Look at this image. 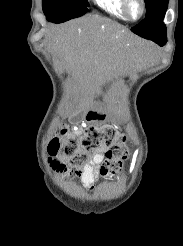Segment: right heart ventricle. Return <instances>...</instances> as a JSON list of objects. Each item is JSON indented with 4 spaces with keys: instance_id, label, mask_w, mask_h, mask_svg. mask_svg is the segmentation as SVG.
<instances>
[{
    "instance_id": "right-heart-ventricle-1",
    "label": "right heart ventricle",
    "mask_w": 183,
    "mask_h": 246,
    "mask_svg": "<svg viewBox=\"0 0 183 246\" xmlns=\"http://www.w3.org/2000/svg\"><path fill=\"white\" fill-rule=\"evenodd\" d=\"M93 1L99 8H101L111 16L121 20H127V17L123 10L122 0H93Z\"/></svg>"
}]
</instances>
